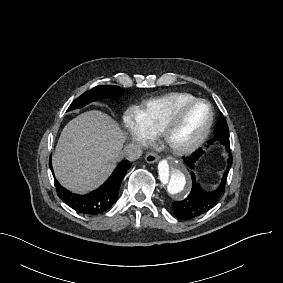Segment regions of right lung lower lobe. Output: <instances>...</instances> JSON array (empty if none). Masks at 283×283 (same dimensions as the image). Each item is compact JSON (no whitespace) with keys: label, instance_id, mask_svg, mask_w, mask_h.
<instances>
[{"label":"right lung lower lobe","instance_id":"98d812e1","mask_svg":"<svg viewBox=\"0 0 283 283\" xmlns=\"http://www.w3.org/2000/svg\"><path fill=\"white\" fill-rule=\"evenodd\" d=\"M49 166L52 170L51 159ZM131 164L124 160L119 163L109 179L98 189L86 195L73 194L56 182L58 196L71 208L86 215H97L107 211L117 200L121 181Z\"/></svg>","mask_w":283,"mask_h":283}]
</instances>
